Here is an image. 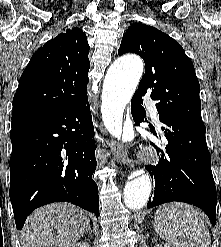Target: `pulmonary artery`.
Masks as SVG:
<instances>
[{"label":"pulmonary artery","instance_id":"1","mask_svg":"<svg viewBox=\"0 0 221 247\" xmlns=\"http://www.w3.org/2000/svg\"><path fill=\"white\" fill-rule=\"evenodd\" d=\"M145 101L148 105V107L150 108V113L152 115V117L157 120V117H158V111L155 107V104L153 101L150 100L149 96H145Z\"/></svg>","mask_w":221,"mask_h":247}]
</instances>
